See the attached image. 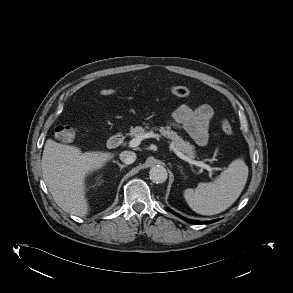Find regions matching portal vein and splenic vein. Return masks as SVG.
I'll list each match as a JSON object with an SVG mask.
<instances>
[{
	"instance_id": "portal-vein-and-splenic-vein-1",
	"label": "portal vein and splenic vein",
	"mask_w": 293,
	"mask_h": 293,
	"mask_svg": "<svg viewBox=\"0 0 293 293\" xmlns=\"http://www.w3.org/2000/svg\"><path fill=\"white\" fill-rule=\"evenodd\" d=\"M150 137H157V135H156V134H153V133H146V134H144V135L137 136L136 138H134L133 140H131V141L129 142V147H131V148L137 147V146L141 143V141H142L143 139L150 138ZM172 148H173L175 154H176L179 158H181V159H183V160H185V161H187V162H189V163H191V164H194V165H196V166H198V167L204 168V169H206V170L209 172L210 176L213 175L214 168H212V167L209 166L208 164H205V163L202 162V161L191 160L189 157H187L186 155H184L182 152H180V151H179L177 148H175L174 146H173Z\"/></svg>"
}]
</instances>
